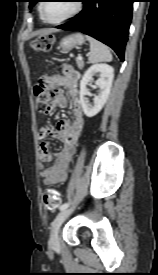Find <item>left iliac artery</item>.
<instances>
[{"label":"left iliac artery","instance_id":"44dca946","mask_svg":"<svg viewBox=\"0 0 158 275\" xmlns=\"http://www.w3.org/2000/svg\"><path fill=\"white\" fill-rule=\"evenodd\" d=\"M69 205H70V203H64V204H62V205L60 206L59 209L62 211V210H64V209L68 208Z\"/></svg>","mask_w":158,"mask_h":275}]
</instances>
